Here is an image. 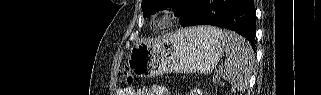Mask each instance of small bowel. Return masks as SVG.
I'll return each instance as SVG.
<instances>
[{"label":"small bowel","instance_id":"obj_1","mask_svg":"<svg viewBox=\"0 0 321 95\" xmlns=\"http://www.w3.org/2000/svg\"><path fill=\"white\" fill-rule=\"evenodd\" d=\"M127 95H170L169 90L163 85H153L149 89H140L135 91L133 89H125Z\"/></svg>","mask_w":321,"mask_h":95}]
</instances>
